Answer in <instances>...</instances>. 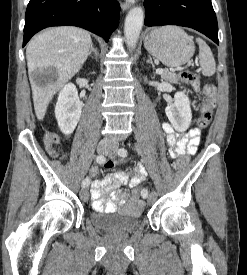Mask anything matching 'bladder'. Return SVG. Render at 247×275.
I'll list each match as a JSON object with an SVG mask.
<instances>
[{
    "mask_svg": "<svg viewBox=\"0 0 247 275\" xmlns=\"http://www.w3.org/2000/svg\"><path fill=\"white\" fill-rule=\"evenodd\" d=\"M89 220L94 226L106 231L129 233L139 226L140 212L129 215L98 210L90 215Z\"/></svg>",
    "mask_w": 247,
    "mask_h": 275,
    "instance_id": "bladder-1",
    "label": "bladder"
}]
</instances>
